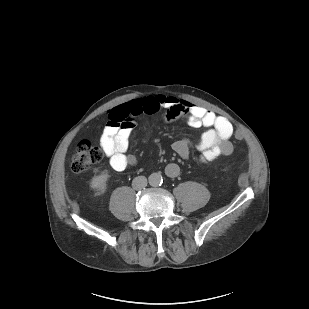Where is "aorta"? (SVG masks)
Wrapping results in <instances>:
<instances>
[{"label": "aorta", "instance_id": "1", "mask_svg": "<svg viewBox=\"0 0 309 309\" xmlns=\"http://www.w3.org/2000/svg\"><path fill=\"white\" fill-rule=\"evenodd\" d=\"M148 181L151 186L156 187L162 184L163 179L160 173H152L149 176Z\"/></svg>", "mask_w": 309, "mask_h": 309}]
</instances>
